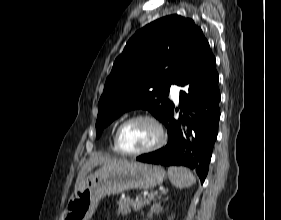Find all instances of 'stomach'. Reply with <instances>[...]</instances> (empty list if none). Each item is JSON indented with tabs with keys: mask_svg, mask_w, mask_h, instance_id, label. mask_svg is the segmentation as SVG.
Returning a JSON list of instances; mask_svg holds the SVG:
<instances>
[{
	"mask_svg": "<svg viewBox=\"0 0 281 220\" xmlns=\"http://www.w3.org/2000/svg\"><path fill=\"white\" fill-rule=\"evenodd\" d=\"M166 171L158 165L130 162L116 168H99L88 175L69 199L60 220H89L101 198L130 189H150L161 184Z\"/></svg>",
	"mask_w": 281,
	"mask_h": 220,
	"instance_id": "1",
	"label": "stomach"
}]
</instances>
